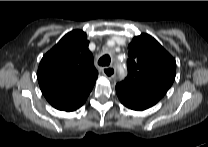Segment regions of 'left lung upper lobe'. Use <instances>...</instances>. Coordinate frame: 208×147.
<instances>
[{"label": "left lung upper lobe", "instance_id": "5c2ea615", "mask_svg": "<svg viewBox=\"0 0 208 147\" xmlns=\"http://www.w3.org/2000/svg\"><path fill=\"white\" fill-rule=\"evenodd\" d=\"M128 76L121 84L161 99L176 74L175 59L150 35L141 34L129 44Z\"/></svg>", "mask_w": 208, "mask_h": 147}]
</instances>
